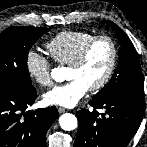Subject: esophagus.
Wrapping results in <instances>:
<instances>
[{
  "label": "esophagus",
  "mask_w": 147,
  "mask_h": 147,
  "mask_svg": "<svg viewBox=\"0 0 147 147\" xmlns=\"http://www.w3.org/2000/svg\"><path fill=\"white\" fill-rule=\"evenodd\" d=\"M58 112L59 113H64V112H66V109L62 108V107H58Z\"/></svg>",
  "instance_id": "1"
}]
</instances>
